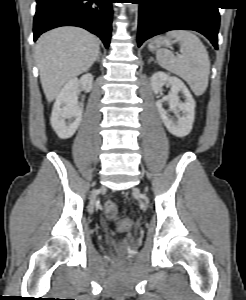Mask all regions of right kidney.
Masks as SVG:
<instances>
[{"mask_svg":"<svg viewBox=\"0 0 246 300\" xmlns=\"http://www.w3.org/2000/svg\"><path fill=\"white\" fill-rule=\"evenodd\" d=\"M92 85L93 76L86 73L80 79L69 80L59 92L50 118L51 126L59 138L68 139L78 129L83 113V107L78 105L79 88L90 92Z\"/></svg>","mask_w":246,"mask_h":300,"instance_id":"ca27d5eb","label":"right kidney"}]
</instances>
